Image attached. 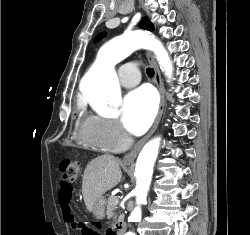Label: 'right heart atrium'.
<instances>
[{
  "mask_svg": "<svg viewBox=\"0 0 250 235\" xmlns=\"http://www.w3.org/2000/svg\"><path fill=\"white\" fill-rule=\"evenodd\" d=\"M92 131L94 138L111 151L123 149L130 143V136L115 119L110 117L93 116Z\"/></svg>",
  "mask_w": 250,
  "mask_h": 235,
  "instance_id": "obj_1",
  "label": "right heart atrium"
}]
</instances>
